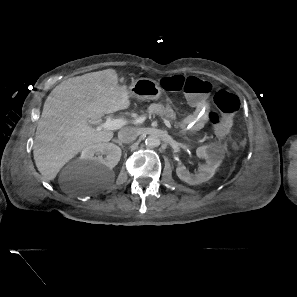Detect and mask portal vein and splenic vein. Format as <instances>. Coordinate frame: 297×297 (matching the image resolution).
I'll return each instance as SVG.
<instances>
[{
    "instance_id": "portal-vein-and-splenic-vein-1",
    "label": "portal vein and splenic vein",
    "mask_w": 297,
    "mask_h": 297,
    "mask_svg": "<svg viewBox=\"0 0 297 297\" xmlns=\"http://www.w3.org/2000/svg\"><path fill=\"white\" fill-rule=\"evenodd\" d=\"M145 121V117H139L135 120L136 123H143ZM126 120L124 119H112L111 117H108L104 123H92L96 124L97 130H117L123 127L126 124ZM164 124L171 129L172 126L170 122L167 119H163Z\"/></svg>"
}]
</instances>
